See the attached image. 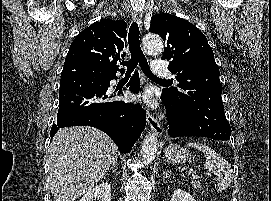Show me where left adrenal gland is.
<instances>
[{"instance_id":"obj_1","label":"left adrenal gland","mask_w":271,"mask_h":201,"mask_svg":"<svg viewBox=\"0 0 271 201\" xmlns=\"http://www.w3.org/2000/svg\"><path fill=\"white\" fill-rule=\"evenodd\" d=\"M163 177L168 178V174H167V172L165 170L163 171Z\"/></svg>"}]
</instances>
